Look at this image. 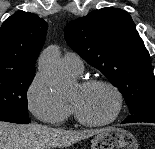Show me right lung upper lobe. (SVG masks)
I'll list each match as a JSON object with an SVG mask.
<instances>
[{"label": "right lung upper lobe", "mask_w": 155, "mask_h": 149, "mask_svg": "<svg viewBox=\"0 0 155 149\" xmlns=\"http://www.w3.org/2000/svg\"><path fill=\"white\" fill-rule=\"evenodd\" d=\"M47 28V22L28 12L7 18L0 28V75L35 72Z\"/></svg>", "instance_id": "obj_1"}]
</instances>
